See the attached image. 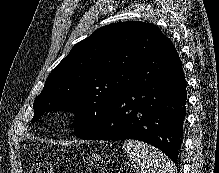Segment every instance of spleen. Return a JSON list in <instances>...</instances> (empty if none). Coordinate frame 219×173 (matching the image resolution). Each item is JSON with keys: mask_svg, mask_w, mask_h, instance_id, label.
Here are the masks:
<instances>
[{"mask_svg": "<svg viewBox=\"0 0 219 173\" xmlns=\"http://www.w3.org/2000/svg\"><path fill=\"white\" fill-rule=\"evenodd\" d=\"M123 148L139 173H175V166L158 149L137 141H124Z\"/></svg>", "mask_w": 219, "mask_h": 173, "instance_id": "obj_1", "label": "spleen"}]
</instances>
